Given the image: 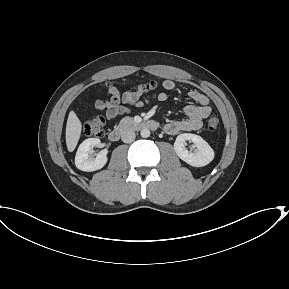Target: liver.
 I'll use <instances>...</instances> for the list:
<instances>
[{
	"label": "liver",
	"instance_id": "6515ba94",
	"mask_svg": "<svg viewBox=\"0 0 289 289\" xmlns=\"http://www.w3.org/2000/svg\"><path fill=\"white\" fill-rule=\"evenodd\" d=\"M82 124L74 111H70L66 125V145L69 152L74 151L79 141Z\"/></svg>",
	"mask_w": 289,
	"mask_h": 289
}]
</instances>
